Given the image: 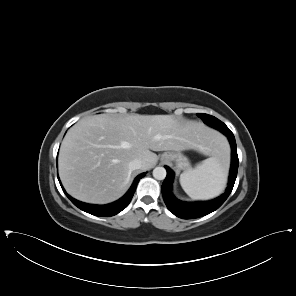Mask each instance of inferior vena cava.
Returning a JSON list of instances; mask_svg holds the SVG:
<instances>
[{"mask_svg":"<svg viewBox=\"0 0 296 296\" xmlns=\"http://www.w3.org/2000/svg\"><path fill=\"white\" fill-rule=\"evenodd\" d=\"M142 168V161L140 159H134L129 163V169L131 171L141 169Z\"/></svg>","mask_w":296,"mask_h":296,"instance_id":"inferior-vena-cava-1","label":"inferior vena cava"}]
</instances>
